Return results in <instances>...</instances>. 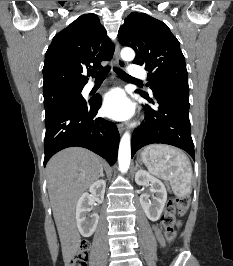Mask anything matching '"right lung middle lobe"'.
Here are the masks:
<instances>
[{
  "instance_id": "1",
  "label": "right lung middle lobe",
  "mask_w": 233,
  "mask_h": 266,
  "mask_svg": "<svg viewBox=\"0 0 233 266\" xmlns=\"http://www.w3.org/2000/svg\"><path fill=\"white\" fill-rule=\"evenodd\" d=\"M83 88L62 89L44 94V107L46 114H49L59 108L85 103L81 95Z\"/></svg>"
}]
</instances>
